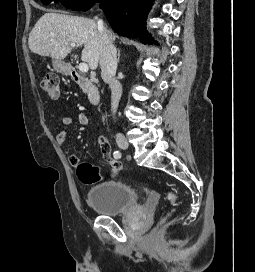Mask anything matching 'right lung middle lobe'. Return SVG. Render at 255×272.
<instances>
[{
	"instance_id": "1",
	"label": "right lung middle lobe",
	"mask_w": 255,
	"mask_h": 272,
	"mask_svg": "<svg viewBox=\"0 0 255 272\" xmlns=\"http://www.w3.org/2000/svg\"><path fill=\"white\" fill-rule=\"evenodd\" d=\"M43 4L48 5L52 1L55 3L61 2L68 8L73 10H88L94 5L95 2H101V0H41Z\"/></svg>"
}]
</instances>
